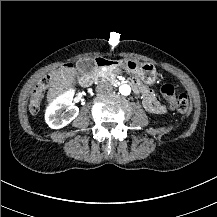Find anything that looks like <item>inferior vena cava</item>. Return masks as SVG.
<instances>
[{
    "label": "inferior vena cava",
    "instance_id": "602c4592",
    "mask_svg": "<svg viewBox=\"0 0 217 217\" xmlns=\"http://www.w3.org/2000/svg\"><path fill=\"white\" fill-rule=\"evenodd\" d=\"M112 89V86L108 82H101L96 87V90L100 93H108L111 92Z\"/></svg>",
    "mask_w": 217,
    "mask_h": 217
}]
</instances>
